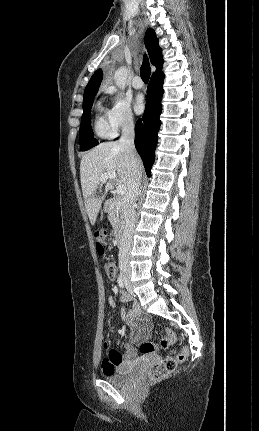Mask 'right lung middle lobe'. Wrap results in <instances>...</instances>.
Masks as SVG:
<instances>
[{
  "instance_id": "right-lung-middle-lobe-1",
  "label": "right lung middle lobe",
  "mask_w": 259,
  "mask_h": 431,
  "mask_svg": "<svg viewBox=\"0 0 259 431\" xmlns=\"http://www.w3.org/2000/svg\"><path fill=\"white\" fill-rule=\"evenodd\" d=\"M96 93L97 92L84 94L83 115L79 131L80 147L82 151H86L98 145V141L94 138L91 128V108Z\"/></svg>"
}]
</instances>
